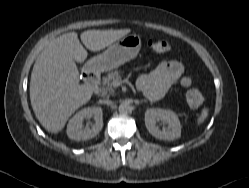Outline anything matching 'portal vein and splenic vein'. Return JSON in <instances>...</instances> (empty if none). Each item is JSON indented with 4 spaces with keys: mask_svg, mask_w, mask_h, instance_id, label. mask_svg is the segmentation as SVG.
Listing matches in <instances>:
<instances>
[{
    "mask_svg": "<svg viewBox=\"0 0 249 188\" xmlns=\"http://www.w3.org/2000/svg\"><path fill=\"white\" fill-rule=\"evenodd\" d=\"M114 85H115V86H119V85H120V81H119V80H118V81H115V82H114Z\"/></svg>",
    "mask_w": 249,
    "mask_h": 188,
    "instance_id": "1",
    "label": "portal vein and splenic vein"
}]
</instances>
